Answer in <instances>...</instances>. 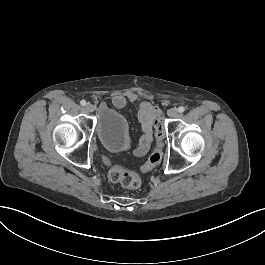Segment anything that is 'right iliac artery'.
<instances>
[{
	"label": "right iliac artery",
	"instance_id": "obj_1",
	"mask_svg": "<svg viewBox=\"0 0 265 265\" xmlns=\"http://www.w3.org/2000/svg\"><path fill=\"white\" fill-rule=\"evenodd\" d=\"M80 104H81L82 106H85V105H86V101H85V100H81V101H80Z\"/></svg>",
	"mask_w": 265,
	"mask_h": 265
}]
</instances>
